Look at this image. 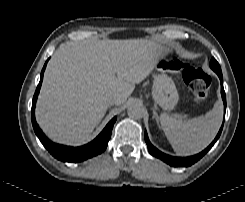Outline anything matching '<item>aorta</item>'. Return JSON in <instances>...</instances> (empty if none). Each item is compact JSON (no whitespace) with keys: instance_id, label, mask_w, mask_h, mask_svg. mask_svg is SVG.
<instances>
[{"instance_id":"1","label":"aorta","mask_w":245,"mask_h":202,"mask_svg":"<svg viewBox=\"0 0 245 202\" xmlns=\"http://www.w3.org/2000/svg\"><path fill=\"white\" fill-rule=\"evenodd\" d=\"M128 116L133 119H141L144 114V109L139 104H131L127 109Z\"/></svg>"}]
</instances>
